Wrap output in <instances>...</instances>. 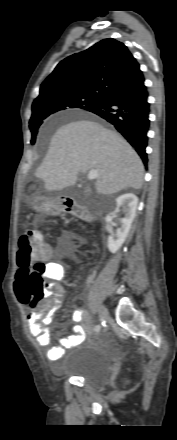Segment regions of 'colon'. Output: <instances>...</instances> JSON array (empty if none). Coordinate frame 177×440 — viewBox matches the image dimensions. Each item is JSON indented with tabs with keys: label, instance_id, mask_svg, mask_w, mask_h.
I'll return each instance as SVG.
<instances>
[{
	"label": "colon",
	"instance_id": "1",
	"mask_svg": "<svg viewBox=\"0 0 177 440\" xmlns=\"http://www.w3.org/2000/svg\"><path fill=\"white\" fill-rule=\"evenodd\" d=\"M50 251L41 235L35 231L24 233L19 239L17 265L19 278L16 281L20 301L37 310V304L48 294L45 286L47 265L44 259Z\"/></svg>",
	"mask_w": 177,
	"mask_h": 440
}]
</instances>
